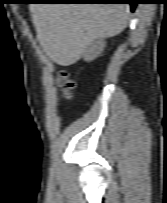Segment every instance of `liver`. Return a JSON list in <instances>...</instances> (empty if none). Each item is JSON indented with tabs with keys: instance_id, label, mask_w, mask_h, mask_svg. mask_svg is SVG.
Instances as JSON below:
<instances>
[{
	"instance_id": "6515ba94",
	"label": "liver",
	"mask_w": 167,
	"mask_h": 203,
	"mask_svg": "<svg viewBox=\"0 0 167 203\" xmlns=\"http://www.w3.org/2000/svg\"><path fill=\"white\" fill-rule=\"evenodd\" d=\"M37 38L55 63H76L96 39L113 37L127 26L123 4H32Z\"/></svg>"
}]
</instances>
